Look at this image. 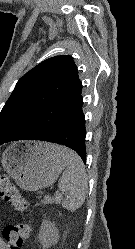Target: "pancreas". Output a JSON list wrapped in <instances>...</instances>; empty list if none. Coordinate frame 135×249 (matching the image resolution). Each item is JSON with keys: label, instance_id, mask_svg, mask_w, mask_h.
Listing matches in <instances>:
<instances>
[{"label": "pancreas", "instance_id": "obj_1", "mask_svg": "<svg viewBox=\"0 0 135 249\" xmlns=\"http://www.w3.org/2000/svg\"><path fill=\"white\" fill-rule=\"evenodd\" d=\"M54 202V199L51 198V197H45L43 200H42V203L44 204H49V203H53Z\"/></svg>", "mask_w": 135, "mask_h": 249}]
</instances>
